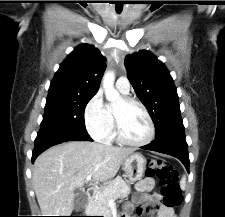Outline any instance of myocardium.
I'll use <instances>...</instances> for the list:
<instances>
[{
    "mask_svg": "<svg viewBox=\"0 0 225 217\" xmlns=\"http://www.w3.org/2000/svg\"><path fill=\"white\" fill-rule=\"evenodd\" d=\"M122 100L125 104L136 105L143 111V113L146 116V119L148 121L149 133H148V136L146 137V139H144L143 141H140V142H133V141H130L129 139H127L123 134L119 117L113 108V117H114L116 135H117L118 140L121 143L131 146V147H143V146L148 145L154 139V136H155V126H154V123H153V120H152V117H151L149 111L147 110V108L145 107V105L142 102H140L134 98L125 96L122 98Z\"/></svg>",
    "mask_w": 225,
    "mask_h": 217,
    "instance_id": "myocardium-1",
    "label": "myocardium"
}]
</instances>
